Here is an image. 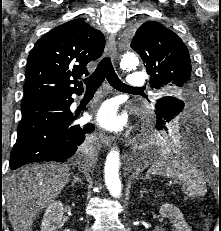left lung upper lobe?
<instances>
[{
	"label": "left lung upper lobe",
	"mask_w": 221,
	"mask_h": 231,
	"mask_svg": "<svg viewBox=\"0 0 221 231\" xmlns=\"http://www.w3.org/2000/svg\"><path fill=\"white\" fill-rule=\"evenodd\" d=\"M131 47L144 62L150 75V87L162 93L160 98L171 97L166 102L157 100V120L164 116L175 117L184 105L195 104L197 87L192 62L177 34L157 22L148 21L137 29Z\"/></svg>",
	"instance_id": "obj_1"
}]
</instances>
